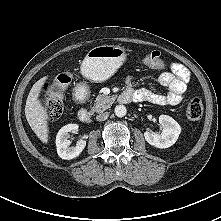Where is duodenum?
Listing matches in <instances>:
<instances>
[{
	"mask_svg": "<svg viewBox=\"0 0 221 221\" xmlns=\"http://www.w3.org/2000/svg\"><path fill=\"white\" fill-rule=\"evenodd\" d=\"M76 99H80L79 94H75ZM131 100V97L128 93L124 92L118 96V101L122 104H126ZM78 118L83 123H89L91 121V113L87 108H81L78 111Z\"/></svg>",
	"mask_w": 221,
	"mask_h": 221,
	"instance_id": "duodenum-1",
	"label": "duodenum"
}]
</instances>
